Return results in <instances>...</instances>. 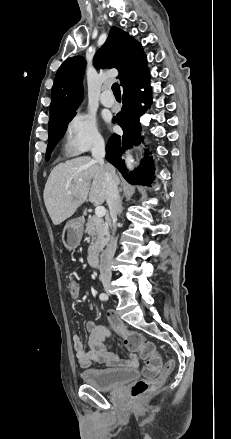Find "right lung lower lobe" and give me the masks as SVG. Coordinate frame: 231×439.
I'll use <instances>...</instances> for the list:
<instances>
[{
	"label": "right lung lower lobe",
	"instance_id": "obj_1",
	"mask_svg": "<svg viewBox=\"0 0 231 439\" xmlns=\"http://www.w3.org/2000/svg\"><path fill=\"white\" fill-rule=\"evenodd\" d=\"M144 88V91L140 89ZM123 106L117 114L118 125L123 129V135H113L106 146V159L122 173L123 177L131 184L150 185L153 175V160L148 154L141 162V166L134 173H128L124 160L123 152L141 142L139 117L144 111L150 108L151 86L150 76H145L140 82L129 87L122 96ZM145 103V107L141 106ZM115 121V120H113Z\"/></svg>",
	"mask_w": 231,
	"mask_h": 439
}]
</instances>
